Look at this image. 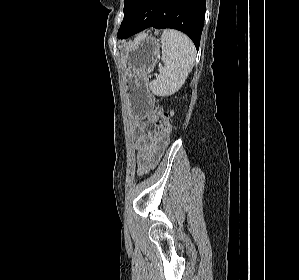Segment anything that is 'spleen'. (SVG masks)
Returning a JSON list of instances; mask_svg holds the SVG:
<instances>
[{"mask_svg": "<svg viewBox=\"0 0 299 280\" xmlns=\"http://www.w3.org/2000/svg\"><path fill=\"white\" fill-rule=\"evenodd\" d=\"M164 67L149 88L157 96H168L178 91L192 70L196 49L183 33L164 30L161 36Z\"/></svg>", "mask_w": 299, "mask_h": 280, "instance_id": "obj_1", "label": "spleen"}]
</instances>
